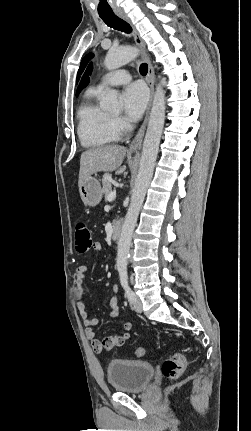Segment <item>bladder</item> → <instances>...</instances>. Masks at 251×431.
<instances>
[{
  "mask_svg": "<svg viewBox=\"0 0 251 431\" xmlns=\"http://www.w3.org/2000/svg\"><path fill=\"white\" fill-rule=\"evenodd\" d=\"M153 375L154 367L144 361L115 359L107 366L108 382L118 392L142 391L149 385Z\"/></svg>",
  "mask_w": 251,
  "mask_h": 431,
  "instance_id": "obj_1",
  "label": "bladder"
}]
</instances>
